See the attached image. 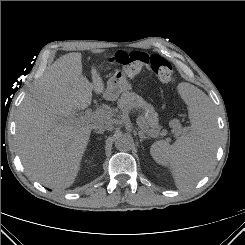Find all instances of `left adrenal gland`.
<instances>
[{"mask_svg": "<svg viewBox=\"0 0 245 245\" xmlns=\"http://www.w3.org/2000/svg\"><path fill=\"white\" fill-rule=\"evenodd\" d=\"M138 135H139V137H140V142H143V141L146 140V139H150V137H149V136H146V135L143 133V131H141V130L138 131Z\"/></svg>", "mask_w": 245, "mask_h": 245, "instance_id": "a2214340", "label": "left adrenal gland"}]
</instances>
